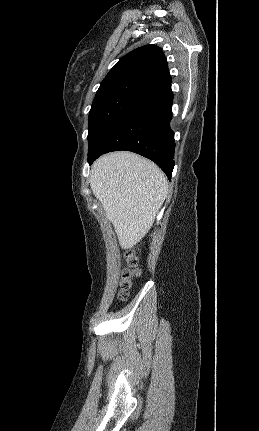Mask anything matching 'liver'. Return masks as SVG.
<instances>
[{
    "mask_svg": "<svg viewBox=\"0 0 259 431\" xmlns=\"http://www.w3.org/2000/svg\"><path fill=\"white\" fill-rule=\"evenodd\" d=\"M90 186L122 249L132 248L147 234L168 191L167 178L157 165L126 151L97 159Z\"/></svg>",
    "mask_w": 259,
    "mask_h": 431,
    "instance_id": "obj_1",
    "label": "liver"
}]
</instances>
